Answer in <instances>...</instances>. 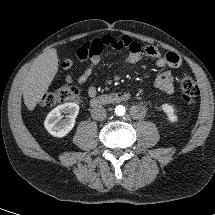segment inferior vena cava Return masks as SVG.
<instances>
[{
    "instance_id": "obj_1",
    "label": "inferior vena cava",
    "mask_w": 215,
    "mask_h": 215,
    "mask_svg": "<svg viewBox=\"0 0 215 215\" xmlns=\"http://www.w3.org/2000/svg\"><path fill=\"white\" fill-rule=\"evenodd\" d=\"M91 117L97 121L104 120L107 117L106 109H104L102 106H96L92 108Z\"/></svg>"
}]
</instances>
